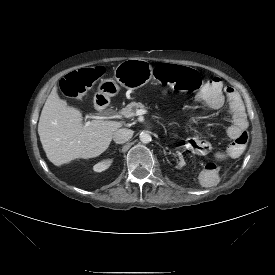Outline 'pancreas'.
<instances>
[{
  "mask_svg": "<svg viewBox=\"0 0 275 275\" xmlns=\"http://www.w3.org/2000/svg\"><path fill=\"white\" fill-rule=\"evenodd\" d=\"M139 109H145V105L141 102H131L125 108H123L121 112L125 113L126 115H130Z\"/></svg>",
  "mask_w": 275,
  "mask_h": 275,
  "instance_id": "cf45deb5",
  "label": "pancreas"
}]
</instances>
